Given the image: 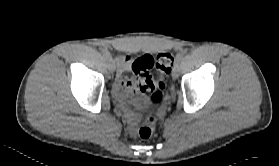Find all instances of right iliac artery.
<instances>
[{"mask_svg":"<svg viewBox=\"0 0 279 166\" xmlns=\"http://www.w3.org/2000/svg\"><path fill=\"white\" fill-rule=\"evenodd\" d=\"M102 54L106 59H112L110 53L107 50H102Z\"/></svg>","mask_w":279,"mask_h":166,"instance_id":"obj_1","label":"right iliac artery"}]
</instances>
